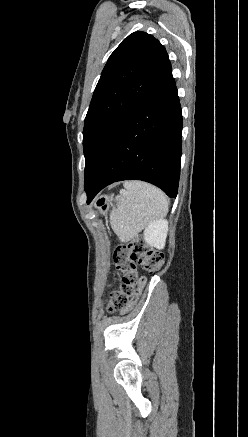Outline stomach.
Listing matches in <instances>:
<instances>
[{
  "mask_svg": "<svg viewBox=\"0 0 248 437\" xmlns=\"http://www.w3.org/2000/svg\"><path fill=\"white\" fill-rule=\"evenodd\" d=\"M109 205H110V201L108 198L106 199L102 198L101 200L98 201V206H100V210L102 211L103 214L107 213L109 209Z\"/></svg>",
  "mask_w": 248,
  "mask_h": 437,
  "instance_id": "stomach-1",
  "label": "stomach"
}]
</instances>
